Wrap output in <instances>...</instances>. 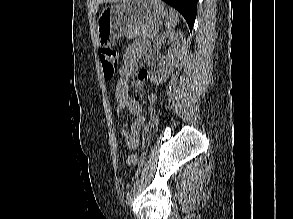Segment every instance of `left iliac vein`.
<instances>
[{"mask_svg":"<svg viewBox=\"0 0 293 219\" xmlns=\"http://www.w3.org/2000/svg\"><path fill=\"white\" fill-rule=\"evenodd\" d=\"M138 186H139V183L136 182L135 186L132 188V191L128 197V201H127L128 205H131V203L133 202V200L136 196L137 190H138Z\"/></svg>","mask_w":293,"mask_h":219,"instance_id":"obj_1","label":"left iliac vein"}]
</instances>
